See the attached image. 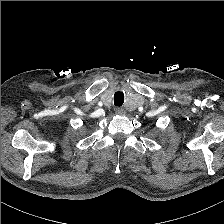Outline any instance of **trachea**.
Segmentation results:
<instances>
[{
  "label": "trachea",
  "instance_id": "3493384b",
  "mask_svg": "<svg viewBox=\"0 0 224 224\" xmlns=\"http://www.w3.org/2000/svg\"><path fill=\"white\" fill-rule=\"evenodd\" d=\"M124 103V94L121 91H118L114 94V105L115 106H122V104Z\"/></svg>",
  "mask_w": 224,
  "mask_h": 224
}]
</instances>
